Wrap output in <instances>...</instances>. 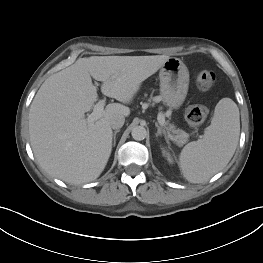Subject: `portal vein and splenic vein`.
<instances>
[{
	"instance_id": "obj_1",
	"label": "portal vein and splenic vein",
	"mask_w": 263,
	"mask_h": 263,
	"mask_svg": "<svg viewBox=\"0 0 263 263\" xmlns=\"http://www.w3.org/2000/svg\"><path fill=\"white\" fill-rule=\"evenodd\" d=\"M105 104H106V100L101 99L94 105L93 112L90 115H88V117L86 118V122L89 125H93L95 121H97L98 119L102 117ZM157 119L161 126H163L164 128H167L165 117L162 114H159ZM169 137L171 140H174L171 134H169Z\"/></svg>"
}]
</instances>
